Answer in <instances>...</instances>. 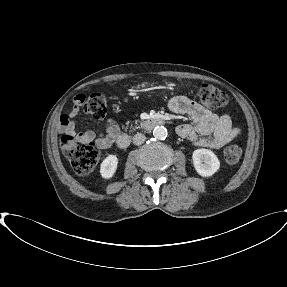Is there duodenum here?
Segmentation results:
<instances>
[{"label": "duodenum", "mask_w": 287, "mask_h": 287, "mask_svg": "<svg viewBox=\"0 0 287 287\" xmlns=\"http://www.w3.org/2000/svg\"><path fill=\"white\" fill-rule=\"evenodd\" d=\"M165 120L157 115L150 116L140 123V128L144 131H151L159 125H162ZM116 146L119 149H126L129 146L130 138L127 134H119L115 140Z\"/></svg>", "instance_id": "duodenum-1"}]
</instances>
